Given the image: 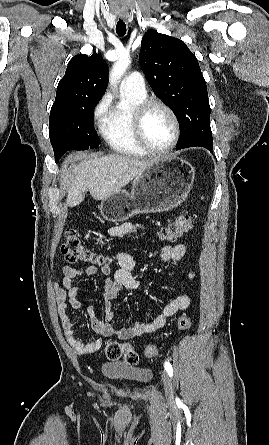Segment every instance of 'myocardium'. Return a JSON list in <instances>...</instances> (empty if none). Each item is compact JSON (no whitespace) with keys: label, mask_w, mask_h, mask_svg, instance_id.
Instances as JSON below:
<instances>
[{"label":"myocardium","mask_w":269,"mask_h":445,"mask_svg":"<svg viewBox=\"0 0 269 445\" xmlns=\"http://www.w3.org/2000/svg\"><path fill=\"white\" fill-rule=\"evenodd\" d=\"M153 108H161L166 111L172 119L174 125V135L171 142L167 147L163 149H154L152 148L145 139L144 136V120L148 112ZM133 133L136 139L137 144L147 153L154 156H164L170 153L177 145L180 135H181V126L178 116L175 111L166 103L155 100V99H146L139 103L134 112H133Z\"/></svg>","instance_id":"obj_1"}]
</instances>
